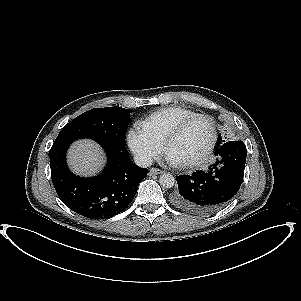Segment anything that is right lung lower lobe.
<instances>
[{"label":"right lung lower lobe","mask_w":301,"mask_h":301,"mask_svg":"<svg viewBox=\"0 0 301 301\" xmlns=\"http://www.w3.org/2000/svg\"><path fill=\"white\" fill-rule=\"evenodd\" d=\"M106 151L104 171L92 178L70 172L66 151L74 140L55 141L50 149L51 178L55 190L74 212L91 219H106L122 212L136 195L139 182L148 169L135 165L125 146L105 139H94Z\"/></svg>","instance_id":"1"}]
</instances>
